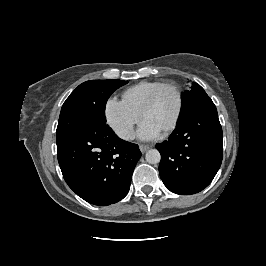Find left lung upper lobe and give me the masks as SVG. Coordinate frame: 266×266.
Masks as SVG:
<instances>
[{
	"label": "left lung upper lobe",
	"instance_id": "1",
	"mask_svg": "<svg viewBox=\"0 0 266 266\" xmlns=\"http://www.w3.org/2000/svg\"><path fill=\"white\" fill-rule=\"evenodd\" d=\"M209 98L210 97L206 94L204 89L199 84L194 82L193 87H191V89L186 90L182 93L183 108L181 117L185 115V113L189 111L192 107H194L196 104Z\"/></svg>",
	"mask_w": 266,
	"mask_h": 266
}]
</instances>
